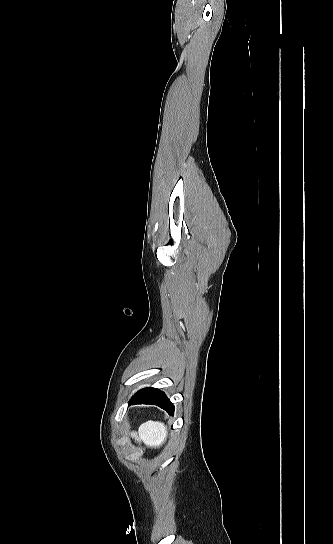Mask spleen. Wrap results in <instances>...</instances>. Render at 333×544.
<instances>
[{
	"label": "spleen",
	"instance_id": "1",
	"mask_svg": "<svg viewBox=\"0 0 333 544\" xmlns=\"http://www.w3.org/2000/svg\"><path fill=\"white\" fill-rule=\"evenodd\" d=\"M139 436L147 444L159 447L167 437V428L162 422L149 420L139 427Z\"/></svg>",
	"mask_w": 333,
	"mask_h": 544
}]
</instances>
